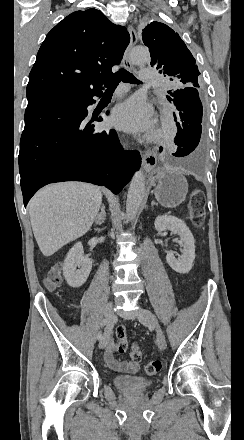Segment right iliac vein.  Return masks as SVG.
<instances>
[{"label":"right iliac vein","mask_w":244,"mask_h":440,"mask_svg":"<svg viewBox=\"0 0 244 440\" xmlns=\"http://www.w3.org/2000/svg\"><path fill=\"white\" fill-rule=\"evenodd\" d=\"M104 316L107 320V324H106V328L104 330L103 339L99 343L100 349H103L107 346V344L110 341L111 336H112V329H113V323H114L113 302L110 301L106 304V307L104 310Z\"/></svg>","instance_id":"63e3f726"}]
</instances>
